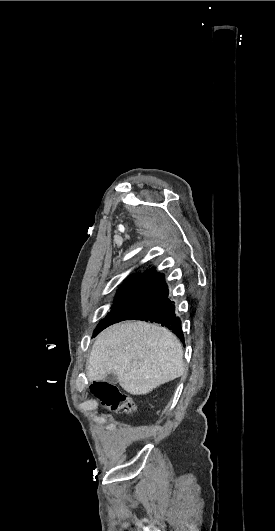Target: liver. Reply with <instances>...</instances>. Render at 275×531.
I'll use <instances>...</instances> for the list:
<instances>
[{
  "label": "liver",
  "mask_w": 275,
  "mask_h": 531,
  "mask_svg": "<svg viewBox=\"0 0 275 531\" xmlns=\"http://www.w3.org/2000/svg\"><path fill=\"white\" fill-rule=\"evenodd\" d=\"M110 373L130 395H147L183 375L181 343L168 329L152 323L112 325L92 347L87 379L103 381Z\"/></svg>",
  "instance_id": "1"
}]
</instances>
